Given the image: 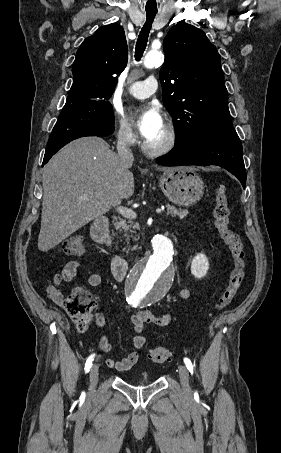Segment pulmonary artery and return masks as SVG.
I'll list each match as a JSON object with an SVG mask.
<instances>
[{"label":"pulmonary artery","mask_w":281,"mask_h":453,"mask_svg":"<svg viewBox=\"0 0 281 453\" xmlns=\"http://www.w3.org/2000/svg\"><path fill=\"white\" fill-rule=\"evenodd\" d=\"M157 80L154 77H148L144 81L134 82L129 86L128 92L136 98H146L154 93L157 89Z\"/></svg>","instance_id":"1"}]
</instances>
